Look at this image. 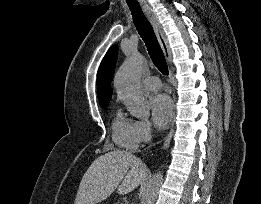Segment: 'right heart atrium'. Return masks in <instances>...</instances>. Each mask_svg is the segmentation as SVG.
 Instances as JSON below:
<instances>
[{
  "label": "right heart atrium",
  "mask_w": 261,
  "mask_h": 204,
  "mask_svg": "<svg viewBox=\"0 0 261 204\" xmlns=\"http://www.w3.org/2000/svg\"><path fill=\"white\" fill-rule=\"evenodd\" d=\"M153 135V127L148 120L135 121V136L138 144L150 141Z\"/></svg>",
  "instance_id": "1"
}]
</instances>
